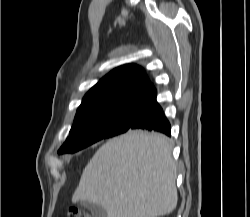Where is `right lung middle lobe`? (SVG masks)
<instances>
[{
  "label": "right lung middle lobe",
  "instance_id": "dd1d6c3e",
  "mask_svg": "<svg viewBox=\"0 0 250 217\" xmlns=\"http://www.w3.org/2000/svg\"><path fill=\"white\" fill-rule=\"evenodd\" d=\"M141 105L121 106L76 117L58 153H74L97 141L128 131Z\"/></svg>",
  "mask_w": 250,
  "mask_h": 217
}]
</instances>
